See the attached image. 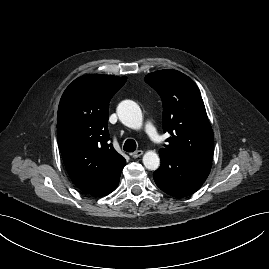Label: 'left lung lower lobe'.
Wrapping results in <instances>:
<instances>
[{"label": "left lung lower lobe", "mask_w": 269, "mask_h": 269, "mask_svg": "<svg viewBox=\"0 0 269 269\" xmlns=\"http://www.w3.org/2000/svg\"><path fill=\"white\" fill-rule=\"evenodd\" d=\"M161 166L154 172L156 185L173 197L196 192L209 175L211 163L182 154L159 151Z\"/></svg>", "instance_id": "obj_1"}]
</instances>
